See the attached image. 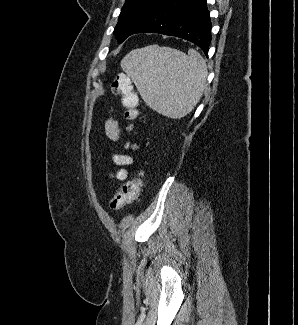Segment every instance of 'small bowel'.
Segmentation results:
<instances>
[{
	"label": "small bowel",
	"instance_id": "obj_1",
	"mask_svg": "<svg viewBox=\"0 0 298 325\" xmlns=\"http://www.w3.org/2000/svg\"><path fill=\"white\" fill-rule=\"evenodd\" d=\"M105 131H106L107 136L111 140L117 141L120 139V127H119L118 122L115 120V118L113 116H110L106 120ZM130 147L135 148V145L134 146L132 145ZM113 162L115 165H117L120 168L112 176L120 181L125 180L128 176V172L124 167L132 163V158L129 155H125V154L119 155L118 154V155L113 156Z\"/></svg>",
	"mask_w": 298,
	"mask_h": 325
}]
</instances>
